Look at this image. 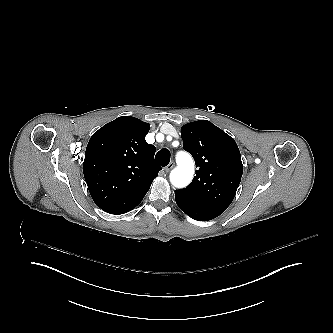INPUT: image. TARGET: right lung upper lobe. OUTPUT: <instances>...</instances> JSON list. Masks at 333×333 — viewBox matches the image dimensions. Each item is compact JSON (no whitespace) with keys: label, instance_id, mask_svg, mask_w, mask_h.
I'll return each instance as SVG.
<instances>
[{"label":"right lung upper lobe","instance_id":"1","mask_svg":"<svg viewBox=\"0 0 333 333\" xmlns=\"http://www.w3.org/2000/svg\"><path fill=\"white\" fill-rule=\"evenodd\" d=\"M150 126L131 116L118 117L89 140L83 163L84 177L95 203L111 199L128 181L151 184L161 167L154 161L155 147L145 141ZM102 167L101 176L91 172Z\"/></svg>","mask_w":333,"mask_h":333}]
</instances>
